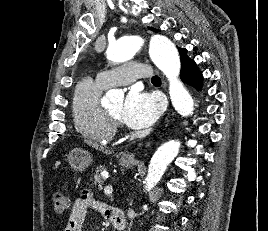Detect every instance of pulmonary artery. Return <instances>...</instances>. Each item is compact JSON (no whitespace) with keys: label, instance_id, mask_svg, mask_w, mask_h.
Segmentation results:
<instances>
[{"label":"pulmonary artery","instance_id":"pulmonary-artery-1","mask_svg":"<svg viewBox=\"0 0 268 231\" xmlns=\"http://www.w3.org/2000/svg\"><path fill=\"white\" fill-rule=\"evenodd\" d=\"M155 75L150 67L138 61L129 63L119 72L103 71L97 76L98 81L108 87L115 84H130L137 78L152 79Z\"/></svg>","mask_w":268,"mask_h":231}]
</instances>
